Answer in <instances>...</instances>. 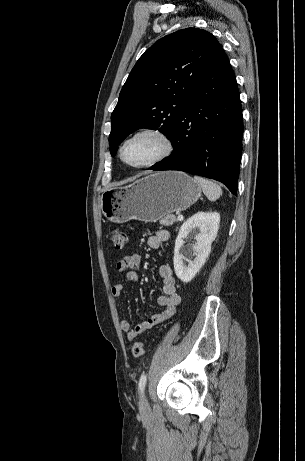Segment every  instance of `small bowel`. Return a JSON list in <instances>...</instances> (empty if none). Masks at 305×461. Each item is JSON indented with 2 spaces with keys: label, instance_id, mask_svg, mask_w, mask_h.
Instances as JSON below:
<instances>
[{
  "label": "small bowel",
  "instance_id": "obj_1",
  "mask_svg": "<svg viewBox=\"0 0 305 461\" xmlns=\"http://www.w3.org/2000/svg\"><path fill=\"white\" fill-rule=\"evenodd\" d=\"M169 238L170 233L168 230L159 229L148 238L147 244L149 248L157 250L161 247L162 243L168 241ZM141 261V256L137 253H133L121 258L117 262L116 268L118 272L125 274L128 281L136 282L138 280L137 270L141 265ZM159 275L163 282V295L158 298V303L162 307V310L152 314L147 320L136 324L133 328H131L129 320L123 319L120 322V328L124 333H126L127 338L130 341L135 340L147 330H150L154 326L172 317L175 313L176 307L181 302V296L177 291L171 267L168 265H162L159 268ZM123 291L124 285L121 283L115 284L111 288V294L114 298H121Z\"/></svg>",
  "mask_w": 305,
  "mask_h": 461
}]
</instances>
